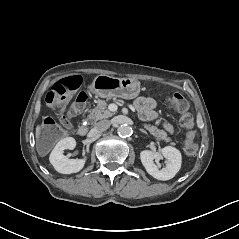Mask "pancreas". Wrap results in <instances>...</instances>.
Listing matches in <instances>:
<instances>
[{
	"mask_svg": "<svg viewBox=\"0 0 239 239\" xmlns=\"http://www.w3.org/2000/svg\"><path fill=\"white\" fill-rule=\"evenodd\" d=\"M109 104L110 102H107L105 100H98L97 105L92 111H90L88 119L91 120L92 123H96L98 120H102L112 116V112L108 110ZM142 126L157 140H161L164 143L174 145L173 139L171 137H167V131L158 128L156 124L143 123Z\"/></svg>",
	"mask_w": 239,
	"mask_h": 239,
	"instance_id": "pancreas-1",
	"label": "pancreas"
}]
</instances>
